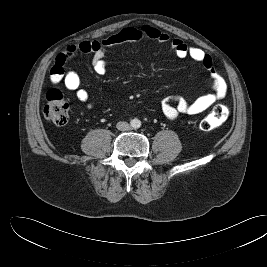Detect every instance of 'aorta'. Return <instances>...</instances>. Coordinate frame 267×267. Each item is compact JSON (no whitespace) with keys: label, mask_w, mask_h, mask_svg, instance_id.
I'll use <instances>...</instances> for the list:
<instances>
[{"label":"aorta","mask_w":267,"mask_h":267,"mask_svg":"<svg viewBox=\"0 0 267 267\" xmlns=\"http://www.w3.org/2000/svg\"><path fill=\"white\" fill-rule=\"evenodd\" d=\"M131 125H132V127H134V128H139L140 125H141V121L138 120V119H133V120L131 121Z\"/></svg>","instance_id":"aorta-1"}]
</instances>
